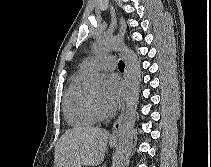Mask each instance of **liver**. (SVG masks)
Returning <instances> with one entry per match:
<instances>
[{
	"label": "liver",
	"instance_id": "6515ba94",
	"mask_svg": "<svg viewBox=\"0 0 211 167\" xmlns=\"http://www.w3.org/2000/svg\"><path fill=\"white\" fill-rule=\"evenodd\" d=\"M108 132L96 127L67 130L55 146L54 167L95 166L104 160Z\"/></svg>",
	"mask_w": 211,
	"mask_h": 167
}]
</instances>
